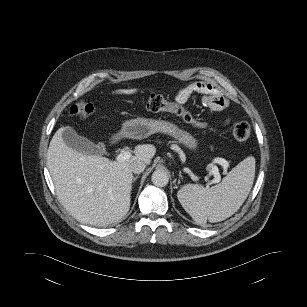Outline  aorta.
Wrapping results in <instances>:
<instances>
[{
  "mask_svg": "<svg viewBox=\"0 0 307 307\" xmlns=\"http://www.w3.org/2000/svg\"><path fill=\"white\" fill-rule=\"evenodd\" d=\"M152 183L158 187H164L169 182V175L167 171L163 169H157L152 174Z\"/></svg>",
  "mask_w": 307,
  "mask_h": 307,
  "instance_id": "762f6f07",
  "label": "aorta"
}]
</instances>
